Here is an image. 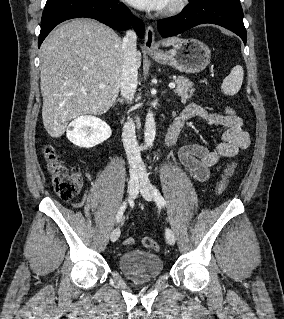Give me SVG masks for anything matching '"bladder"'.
Returning a JSON list of instances; mask_svg holds the SVG:
<instances>
[{
	"mask_svg": "<svg viewBox=\"0 0 284 319\" xmlns=\"http://www.w3.org/2000/svg\"><path fill=\"white\" fill-rule=\"evenodd\" d=\"M121 272L134 282H149L163 272L162 258L144 250H128L122 253L118 260Z\"/></svg>",
	"mask_w": 284,
	"mask_h": 319,
	"instance_id": "31cf9c89",
	"label": "bladder"
}]
</instances>
